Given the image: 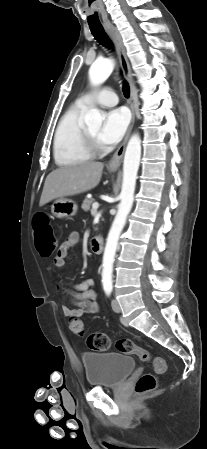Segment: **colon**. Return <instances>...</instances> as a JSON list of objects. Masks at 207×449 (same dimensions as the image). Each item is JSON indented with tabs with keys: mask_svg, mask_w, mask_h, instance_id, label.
<instances>
[{
	"mask_svg": "<svg viewBox=\"0 0 207 449\" xmlns=\"http://www.w3.org/2000/svg\"><path fill=\"white\" fill-rule=\"evenodd\" d=\"M34 240L40 256L50 257L52 255L56 248V237L52 227L42 214H37L34 218ZM69 330L75 336L82 337L85 335L84 324L78 317L70 318ZM87 345L95 351H106L110 348V340L105 333H91L87 337ZM115 347L120 353L135 355L143 362H152L156 374H164L167 370L164 359L153 356L150 351L136 345L130 339L118 340ZM155 387V375L146 373L137 380L135 391L137 394H145L154 390Z\"/></svg>",
	"mask_w": 207,
	"mask_h": 449,
	"instance_id": "1",
	"label": "colon"
}]
</instances>
